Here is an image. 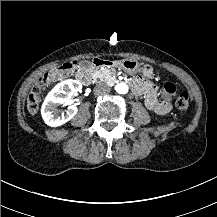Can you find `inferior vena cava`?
Segmentation results:
<instances>
[{"instance_id":"1","label":"inferior vena cava","mask_w":217,"mask_h":217,"mask_svg":"<svg viewBox=\"0 0 217 217\" xmlns=\"http://www.w3.org/2000/svg\"><path fill=\"white\" fill-rule=\"evenodd\" d=\"M111 90V88L105 84V83H100L98 85L95 86V93L97 94H106V93H109Z\"/></svg>"}]
</instances>
